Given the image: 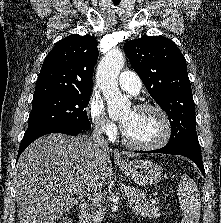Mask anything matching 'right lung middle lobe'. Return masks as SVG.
<instances>
[{
    "instance_id": "right-lung-middle-lobe-1",
    "label": "right lung middle lobe",
    "mask_w": 221,
    "mask_h": 223,
    "mask_svg": "<svg viewBox=\"0 0 221 223\" xmlns=\"http://www.w3.org/2000/svg\"><path fill=\"white\" fill-rule=\"evenodd\" d=\"M89 93L54 95L32 101L29 126L26 132H32L49 126H67L88 130L91 124L86 110L90 100Z\"/></svg>"
}]
</instances>
